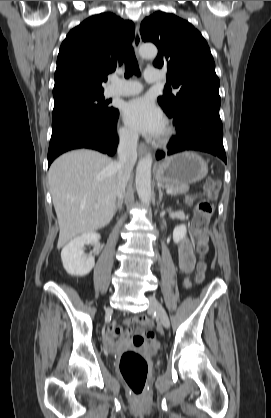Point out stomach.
Returning a JSON list of instances; mask_svg holds the SVG:
<instances>
[{
  "mask_svg": "<svg viewBox=\"0 0 271 418\" xmlns=\"http://www.w3.org/2000/svg\"><path fill=\"white\" fill-rule=\"evenodd\" d=\"M208 173V164L195 152H183L166 158L156 169V180L161 184H191Z\"/></svg>",
  "mask_w": 271,
  "mask_h": 418,
  "instance_id": "1",
  "label": "stomach"
}]
</instances>
